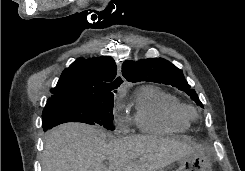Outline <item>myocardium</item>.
<instances>
[{
  "label": "myocardium",
  "mask_w": 245,
  "mask_h": 171,
  "mask_svg": "<svg viewBox=\"0 0 245 171\" xmlns=\"http://www.w3.org/2000/svg\"><path fill=\"white\" fill-rule=\"evenodd\" d=\"M183 113L184 115L189 119L192 120L194 118H196V111L193 107L188 106V105H184L183 107Z\"/></svg>",
  "instance_id": "1"
}]
</instances>
